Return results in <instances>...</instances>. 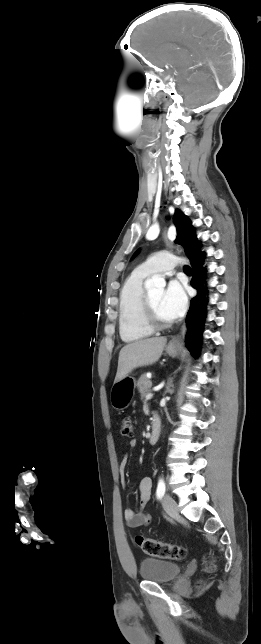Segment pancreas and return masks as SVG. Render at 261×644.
Instances as JSON below:
<instances>
[{
	"label": "pancreas",
	"instance_id": "1",
	"mask_svg": "<svg viewBox=\"0 0 261 644\" xmlns=\"http://www.w3.org/2000/svg\"><path fill=\"white\" fill-rule=\"evenodd\" d=\"M151 386L152 382L147 378L145 374L139 378L137 387L140 392L141 399H143L150 392Z\"/></svg>",
	"mask_w": 261,
	"mask_h": 644
}]
</instances>
